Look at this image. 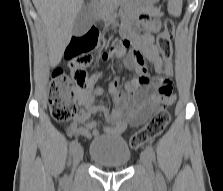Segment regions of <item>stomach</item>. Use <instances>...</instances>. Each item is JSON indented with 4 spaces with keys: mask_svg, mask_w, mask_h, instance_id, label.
I'll use <instances>...</instances> for the list:
<instances>
[{
    "mask_svg": "<svg viewBox=\"0 0 223 191\" xmlns=\"http://www.w3.org/2000/svg\"><path fill=\"white\" fill-rule=\"evenodd\" d=\"M158 0H153V2H157Z\"/></svg>",
    "mask_w": 223,
    "mask_h": 191,
    "instance_id": "stomach-1",
    "label": "stomach"
}]
</instances>
